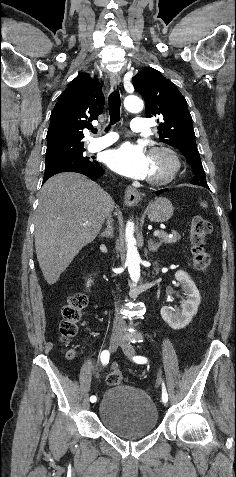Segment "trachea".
<instances>
[{"mask_svg": "<svg viewBox=\"0 0 236 477\" xmlns=\"http://www.w3.org/2000/svg\"><path fill=\"white\" fill-rule=\"evenodd\" d=\"M108 102H109L110 126L107 127V130H109L111 125L120 121L121 100H120L119 92L113 91L108 97ZM91 130L94 134L97 133L96 128H92Z\"/></svg>", "mask_w": 236, "mask_h": 477, "instance_id": "obj_1", "label": "trachea"}]
</instances>
